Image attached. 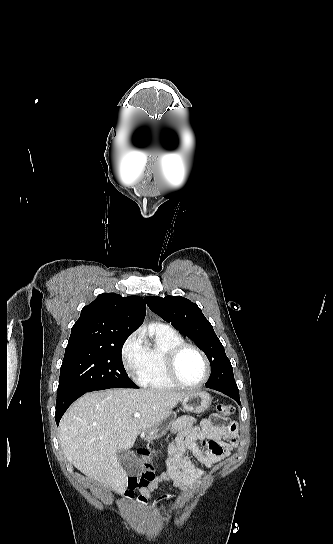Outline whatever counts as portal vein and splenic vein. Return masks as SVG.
I'll list each match as a JSON object with an SVG mask.
<instances>
[{
  "label": "portal vein and splenic vein",
  "instance_id": "portal-vein-and-splenic-vein-1",
  "mask_svg": "<svg viewBox=\"0 0 333 544\" xmlns=\"http://www.w3.org/2000/svg\"><path fill=\"white\" fill-rule=\"evenodd\" d=\"M134 417H135V418L140 417V413H139V412H136V413L134 414Z\"/></svg>",
  "mask_w": 333,
  "mask_h": 544
}]
</instances>
